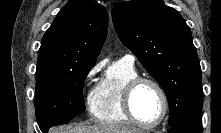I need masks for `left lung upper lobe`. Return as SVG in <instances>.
<instances>
[{"mask_svg": "<svg viewBox=\"0 0 221 133\" xmlns=\"http://www.w3.org/2000/svg\"><path fill=\"white\" fill-rule=\"evenodd\" d=\"M120 40L163 88L169 125L201 115V68L189 26L162 0L121 2L112 9Z\"/></svg>", "mask_w": 221, "mask_h": 133, "instance_id": "left-lung-upper-lobe-1", "label": "left lung upper lobe"}]
</instances>
